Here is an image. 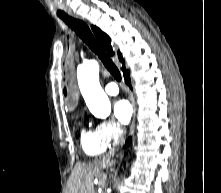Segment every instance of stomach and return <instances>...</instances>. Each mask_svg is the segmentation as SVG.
Returning <instances> with one entry per match:
<instances>
[{
    "instance_id": "obj_1",
    "label": "stomach",
    "mask_w": 221,
    "mask_h": 193,
    "mask_svg": "<svg viewBox=\"0 0 221 193\" xmlns=\"http://www.w3.org/2000/svg\"><path fill=\"white\" fill-rule=\"evenodd\" d=\"M63 103H65L66 109H73V107H78V98H63Z\"/></svg>"
}]
</instances>
